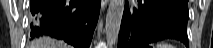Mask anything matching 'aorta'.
Instances as JSON below:
<instances>
[{"mask_svg": "<svg viewBox=\"0 0 213 48\" xmlns=\"http://www.w3.org/2000/svg\"><path fill=\"white\" fill-rule=\"evenodd\" d=\"M123 11L124 0H110L105 23L106 41L109 46L117 43Z\"/></svg>", "mask_w": 213, "mask_h": 48, "instance_id": "obj_1", "label": "aorta"}]
</instances>
